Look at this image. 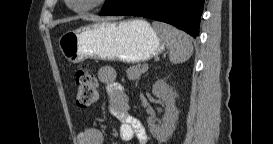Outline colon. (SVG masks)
Returning a JSON list of instances; mask_svg holds the SVG:
<instances>
[{
	"instance_id": "1",
	"label": "colon",
	"mask_w": 273,
	"mask_h": 144,
	"mask_svg": "<svg viewBox=\"0 0 273 144\" xmlns=\"http://www.w3.org/2000/svg\"><path fill=\"white\" fill-rule=\"evenodd\" d=\"M76 104L80 108L90 107L97 99V79L86 68L80 67L75 71Z\"/></svg>"
}]
</instances>
